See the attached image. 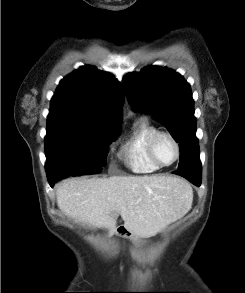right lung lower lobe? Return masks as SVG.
Masks as SVG:
<instances>
[{
  "mask_svg": "<svg viewBox=\"0 0 245 293\" xmlns=\"http://www.w3.org/2000/svg\"><path fill=\"white\" fill-rule=\"evenodd\" d=\"M55 182L56 181H49L50 186L53 187Z\"/></svg>",
  "mask_w": 245,
  "mask_h": 293,
  "instance_id": "1",
  "label": "right lung lower lobe"
}]
</instances>
